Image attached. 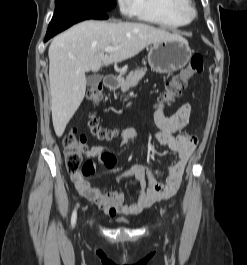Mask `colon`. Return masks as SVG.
<instances>
[{
  "instance_id": "colon-1",
  "label": "colon",
  "mask_w": 247,
  "mask_h": 265,
  "mask_svg": "<svg viewBox=\"0 0 247 265\" xmlns=\"http://www.w3.org/2000/svg\"><path fill=\"white\" fill-rule=\"evenodd\" d=\"M204 68L203 57L200 54H194L189 60L186 68L172 77L166 84L161 101L169 104L181 94L186 88L189 78L194 74L202 73ZM87 100L92 103H99L102 100V91L98 86L92 87L87 93ZM89 136L100 141L109 142L120 136L117 130L103 128L96 117L90 116L86 124ZM88 136L85 134L78 135L76 129H72L64 137L65 146V164L67 171L71 174L89 175L93 172V166L88 161H84L85 145Z\"/></svg>"
}]
</instances>
